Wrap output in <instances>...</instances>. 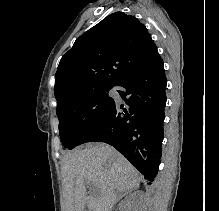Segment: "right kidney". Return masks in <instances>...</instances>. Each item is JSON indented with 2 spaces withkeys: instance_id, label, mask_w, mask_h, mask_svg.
I'll list each match as a JSON object with an SVG mask.
<instances>
[{
  "instance_id": "1",
  "label": "right kidney",
  "mask_w": 219,
  "mask_h": 211,
  "mask_svg": "<svg viewBox=\"0 0 219 211\" xmlns=\"http://www.w3.org/2000/svg\"><path fill=\"white\" fill-rule=\"evenodd\" d=\"M135 193H136V191H135ZM137 195H139V193H137ZM141 195H142V193H141ZM133 201H136L134 211H137V205H138V203H140V197H138V199H130V201H128V203H125V205H126V207H129V209H131Z\"/></svg>"
}]
</instances>
